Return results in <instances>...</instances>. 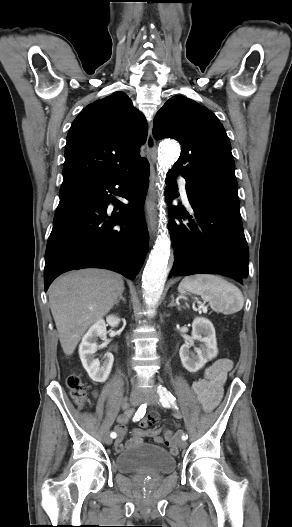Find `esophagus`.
Instances as JSON below:
<instances>
[{
    "mask_svg": "<svg viewBox=\"0 0 292 527\" xmlns=\"http://www.w3.org/2000/svg\"><path fill=\"white\" fill-rule=\"evenodd\" d=\"M146 148H147V158L150 163V169H151V189L150 193L148 195V198L146 200V217L147 222L149 226V231L152 235H154L156 231V214H155V200H156V192H155V182L157 180L158 175V164H157V155H156V141L153 136V124L150 123L149 125V131L146 141ZM153 219V220H152Z\"/></svg>",
    "mask_w": 292,
    "mask_h": 527,
    "instance_id": "esophagus-1",
    "label": "esophagus"
}]
</instances>
